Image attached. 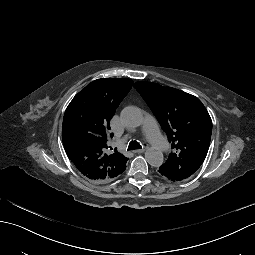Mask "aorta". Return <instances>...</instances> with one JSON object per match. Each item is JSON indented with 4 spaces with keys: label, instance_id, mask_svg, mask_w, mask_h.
I'll return each instance as SVG.
<instances>
[{
    "label": "aorta",
    "instance_id": "1",
    "mask_svg": "<svg viewBox=\"0 0 255 255\" xmlns=\"http://www.w3.org/2000/svg\"><path fill=\"white\" fill-rule=\"evenodd\" d=\"M121 118L127 127H138L143 122V114L138 107L128 106L121 112ZM145 159L152 167H159L163 164L164 157L161 150L148 148L145 152Z\"/></svg>",
    "mask_w": 255,
    "mask_h": 255
}]
</instances>
